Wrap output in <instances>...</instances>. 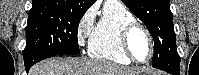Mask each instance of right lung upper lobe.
<instances>
[{
	"label": "right lung upper lobe",
	"mask_w": 199,
	"mask_h": 75,
	"mask_svg": "<svg viewBox=\"0 0 199 75\" xmlns=\"http://www.w3.org/2000/svg\"><path fill=\"white\" fill-rule=\"evenodd\" d=\"M95 0H33L32 8L61 7L86 12Z\"/></svg>",
	"instance_id": "obj_1"
}]
</instances>
